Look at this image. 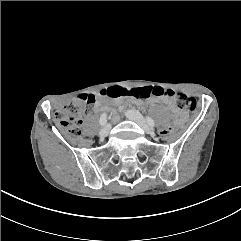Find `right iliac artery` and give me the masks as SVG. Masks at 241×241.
Segmentation results:
<instances>
[{
  "mask_svg": "<svg viewBox=\"0 0 241 241\" xmlns=\"http://www.w3.org/2000/svg\"><path fill=\"white\" fill-rule=\"evenodd\" d=\"M106 122H107V115L105 113H103L100 117L99 123H100V125L103 126L106 124Z\"/></svg>",
  "mask_w": 241,
  "mask_h": 241,
  "instance_id": "obj_1",
  "label": "right iliac artery"
}]
</instances>
